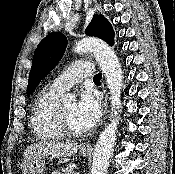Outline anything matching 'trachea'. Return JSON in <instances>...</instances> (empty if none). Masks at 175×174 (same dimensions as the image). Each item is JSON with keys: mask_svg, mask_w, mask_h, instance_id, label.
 I'll return each mask as SVG.
<instances>
[{"mask_svg": "<svg viewBox=\"0 0 175 174\" xmlns=\"http://www.w3.org/2000/svg\"><path fill=\"white\" fill-rule=\"evenodd\" d=\"M102 79V74L99 73V74H96L93 78L94 81H100Z\"/></svg>", "mask_w": 175, "mask_h": 174, "instance_id": "obj_1", "label": "trachea"}]
</instances>
